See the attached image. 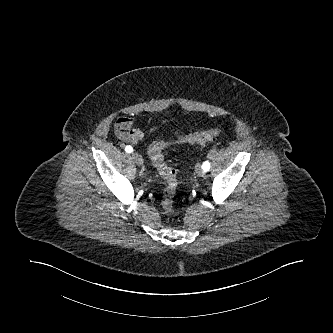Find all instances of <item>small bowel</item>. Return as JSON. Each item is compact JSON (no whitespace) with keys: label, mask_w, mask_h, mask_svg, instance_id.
I'll return each instance as SVG.
<instances>
[{"label":"small bowel","mask_w":333,"mask_h":333,"mask_svg":"<svg viewBox=\"0 0 333 333\" xmlns=\"http://www.w3.org/2000/svg\"><path fill=\"white\" fill-rule=\"evenodd\" d=\"M134 119L132 117H121L114 125L117 138L125 143L135 144L144 138L145 133L139 129L133 128ZM156 127L150 130L155 131Z\"/></svg>","instance_id":"obj_1"}]
</instances>
